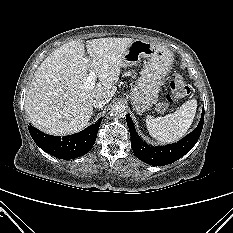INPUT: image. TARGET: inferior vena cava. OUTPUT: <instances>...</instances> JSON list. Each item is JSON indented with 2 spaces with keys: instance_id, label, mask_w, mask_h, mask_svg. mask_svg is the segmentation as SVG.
<instances>
[{
  "instance_id": "obj_1",
  "label": "inferior vena cava",
  "mask_w": 233,
  "mask_h": 233,
  "mask_svg": "<svg viewBox=\"0 0 233 233\" xmlns=\"http://www.w3.org/2000/svg\"><path fill=\"white\" fill-rule=\"evenodd\" d=\"M106 103L107 102L103 97H95L92 100V106L95 108H102Z\"/></svg>"
}]
</instances>
